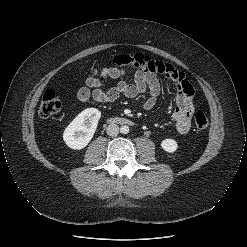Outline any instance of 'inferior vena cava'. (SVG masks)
Listing matches in <instances>:
<instances>
[{"mask_svg": "<svg viewBox=\"0 0 247 247\" xmlns=\"http://www.w3.org/2000/svg\"><path fill=\"white\" fill-rule=\"evenodd\" d=\"M106 132L109 136H116L119 133V127L116 124L108 125Z\"/></svg>", "mask_w": 247, "mask_h": 247, "instance_id": "1", "label": "inferior vena cava"}]
</instances>
